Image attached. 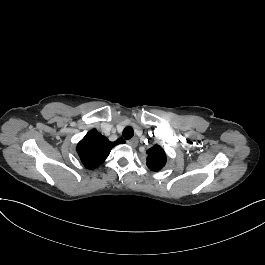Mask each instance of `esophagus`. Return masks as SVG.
<instances>
[{
	"label": "esophagus",
	"instance_id": "esophagus-1",
	"mask_svg": "<svg viewBox=\"0 0 265 265\" xmlns=\"http://www.w3.org/2000/svg\"><path fill=\"white\" fill-rule=\"evenodd\" d=\"M139 143V140L137 137H133L128 140V144L131 145L132 147H136Z\"/></svg>",
	"mask_w": 265,
	"mask_h": 265
}]
</instances>
